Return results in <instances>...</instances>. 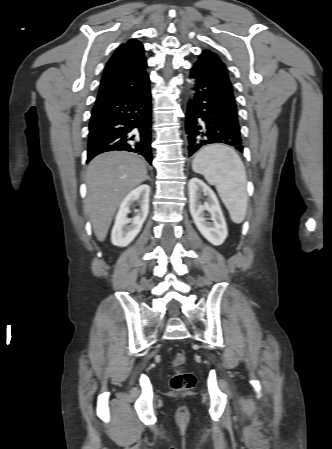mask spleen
<instances>
[{"label":"spleen","mask_w":332,"mask_h":449,"mask_svg":"<svg viewBox=\"0 0 332 449\" xmlns=\"http://www.w3.org/2000/svg\"><path fill=\"white\" fill-rule=\"evenodd\" d=\"M192 169L216 187L232 221L243 222L248 205L247 177L239 155L228 146L210 145L196 154Z\"/></svg>","instance_id":"spleen-1"}]
</instances>
